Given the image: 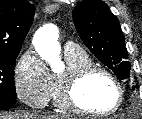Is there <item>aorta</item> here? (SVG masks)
Segmentation results:
<instances>
[{
    "label": "aorta",
    "instance_id": "aorta-1",
    "mask_svg": "<svg viewBox=\"0 0 142 119\" xmlns=\"http://www.w3.org/2000/svg\"><path fill=\"white\" fill-rule=\"evenodd\" d=\"M59 30L54 24H46L39 28L33 38V44L40 57L48 62L55 72L63 68L60 59L61 47L58 42Z\"/></svg>",
    "mask_w": 142,
    "mask_h": 119
}]
</instances>
